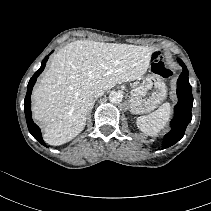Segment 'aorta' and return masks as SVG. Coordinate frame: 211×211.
<instances>
[{
    "instance_id": "762f6f07",
    "label": "aorta",
    "mask_w": 211,
    "mask_h": 211,
    "mask_svg": "<svg viewBox=\"0 0 211 211\" xmlns=\"http://www.w3.org/2000/svg\"><path fill=\"white\" fill-rule=\"evenodd\" d=\"M122 98L123 96L119 92H111L109 95L110 102L114 104L120 103L122 101Z\"/></svg>"
}]
</instances>
